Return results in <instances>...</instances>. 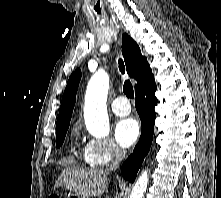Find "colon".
<instances>
[{"mask_svg":"<svg viewBox=\"0 0 221 198\" xmlns=\"http://www.w3.org/2000/svg\"><path fill=\"white\" fill-rule=\"evenodd\" d=\"M49 198H60L58 195H51V196H49Z\"/></svg>","mask_w":221,"mask_h":198,"instance_id":"5ec220e1","label":"colon"}]
</instances>
